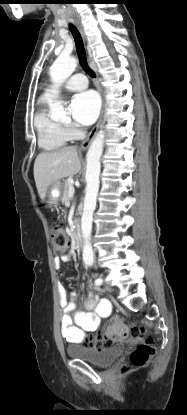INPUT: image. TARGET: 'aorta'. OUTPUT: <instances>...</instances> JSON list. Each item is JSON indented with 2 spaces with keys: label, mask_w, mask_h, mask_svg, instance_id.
<instances>
[{
  "label": "aorta",
  "mask_w": 187,
  "mask_h": 415,
  "mask_svg": "<svg viewBox=\"0 0 187 415\" xmlns=\"http://www.w3.org/2000/svg\"><path fill=\"white\" fill-rule=\"evenodd\" d=\"M77 67V60L71 56L60 55L51 65L49 74L54 84V92ZM51 117L60 119L66 116V111L61 101H55L49 104ZM104 132L100 131L93 139L87 152L86 165V192L84 199V208L81 218V230L84 240L83 261L86 264H93V250L90 243L93 213L96 208L97 194L99 191V175L101 170L100 157L103 152Z\"/></svg>",
  "instance_id": "762f6f07"
}]
</instances>
